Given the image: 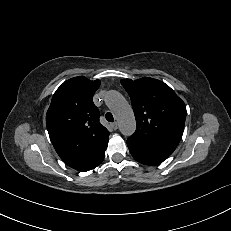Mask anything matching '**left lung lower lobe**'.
Here are the masks:
<instances>
[{"instance_id":"left-lung-lower-lobe-1","label":"left lung lower lobe","mask_w":231,"mask_h":231,"mask_svg":"<svg viewBox=\"0 0 231 231\" xmlns=\"http://www.w3.org/2000/svg\"><path fill=\"white\" fill-rule=\"evenodd\" d=\"M127 145L133 158L145 165H158L166 160L170 155L148 150L137 143L127 140Z\"/></svg>"}]
</instances>
